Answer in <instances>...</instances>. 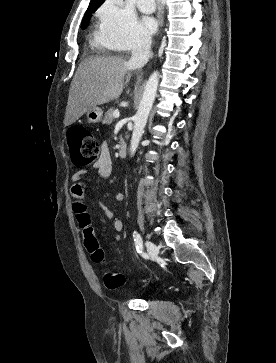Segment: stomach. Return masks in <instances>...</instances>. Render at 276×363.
<instances>
[{"mask_svg": "<svg viewBox=\"0 0 276 363\" xmlns=\"http://www.w3.org/2000/svg\"><path fill=\"white\" fill-rule=\"evenodd\" d=\"M86 116L89 123H98L102 120L103 111L99 107H93L87 111Z\"/></svg>", "mask_w": 276, "mask_h": 363, "instance_id": "stomach-1", "label": "stomach"}]
</instances>
